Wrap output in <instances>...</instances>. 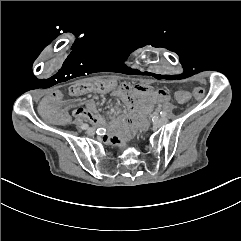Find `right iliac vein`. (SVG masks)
Wrapping results in <instances>:
<instances>
[{"label":"right iliac vein","instance_id":"obj_1","mask_svg":"<svg viewBox=\"0 0 241 241\" xmlns=\"http://www.w3.org/2000/svg\"><path fill=\"white\" fill-rule=\"evenodd\" d=\"M89 135H93L95 133V129L94 128H88L86 131Z\"/></svg>","mask_w":241,"mask_h":241}]
</instances>
